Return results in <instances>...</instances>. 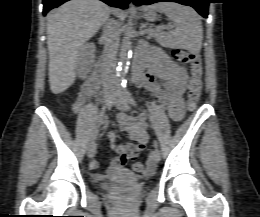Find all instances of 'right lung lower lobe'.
<instances>
[{
	"label": "right lung lower lobe",
	"instance_id": "obj_1",
	"mask_svg": "<svg viewBox=\"0 0 260 217\" xmlns=\"http://www.w3.org/2000/svg\"><path fill=\"white\" fill-rule=\"evenodd\" d=\"M69 0H43V14ZM110 6L126 9L131 0H101Z\"/></svg>",
	"mask_w": 260,
	"mask_h": 217
}]
</instances>
